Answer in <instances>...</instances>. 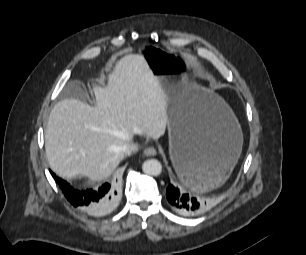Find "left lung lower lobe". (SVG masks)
Masks as SVG:
<instances>
[{"mask_svg":"<svg viewBox=\"0 0 306 255\" xmlns=\"http://www.w3.org/2000/svg\"><path fill=\"white\" fill-rule=\"evenodd\" d=\"M203 176L202 170L194 163L182 165V177L185 181L200 179ZM170 206L178 213L187 216H194L202 213L206 207L205 199L183 193L177 186L170 184L166 193Z\"/></svg>","mask_w":306,"mask_h":255,"instance_id":"0a47b994","label":"left lung lower lobe"}]
</instances>
